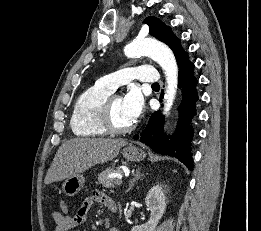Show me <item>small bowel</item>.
Returning a JSON list of instances; mask_svg holds the SVG:
<instances>
[{
	"label": "small bowel",
	"instance_id": "obj_1",
	"mask_svg": "<svg viewBox=\"0 0 261 231\" xmlns=\"http://www.w3.org/2000/svg\"><path fill=\"white\" fill-rule=\"evenodd\" d=\"M94 203H99L109 208V205L115 202L110 196L96 191L82 202L73 216L69 215L67 211L55 209L51 213V218L55 223L54 231H71L78 229L86 222ZM109 231L119 230L111 228Z\"/></svg>",
	"mask_w": 261,
	"mask_h": 231
}]
</instances>
